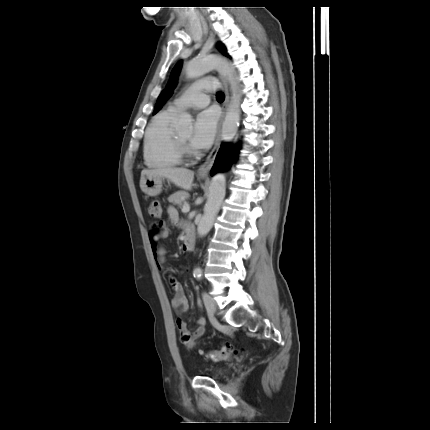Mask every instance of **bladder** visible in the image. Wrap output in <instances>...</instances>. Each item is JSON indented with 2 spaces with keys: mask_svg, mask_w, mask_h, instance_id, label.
<instances>
[{
  "mask_svg": "<svg viewBox=\"0 0 430 430\" xmlns=\"http://www.w3.org/2000/svg\"><path fill=\"white\" fill-rule=\"evenodd\" d=\"M229 372L228 368H219V369H215L214 371H212V376L217 377V378H222L224 376H226Z\"/></svg>",
  "mask_w": 430,
  "mask_h": 430,
  "instance_id": "bladder-1",
  "label": "bladder"
}]
</instances>
